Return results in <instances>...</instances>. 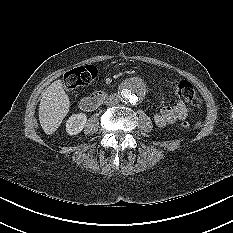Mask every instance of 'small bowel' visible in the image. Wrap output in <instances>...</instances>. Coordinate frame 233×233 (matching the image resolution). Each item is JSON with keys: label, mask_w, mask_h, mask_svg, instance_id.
<instances>
[{"label": "small bowel", "mask_w": 233, "mask_h": 233, "mask_svg": "<svg viewBox=\"0 0 233 233\" xmlns=\"http://www.w3.org/2000/svg\"><path fill=\"white\" fill-rule=\"evenodd\" d=\"M188 116V108L179 101L172 106H164L154 113L153 120L158 127H166Z\"/></svg>", "instance_id": "c3829d8e"}]
</instances>
